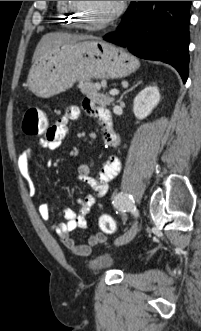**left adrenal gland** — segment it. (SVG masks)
<instances>
[{"mask_svg":"<svg viewBox=\"0 0 201 331\" xmlns=\"http://www.w3.org/2000/svg\"><path fill=\"white\" fill-rule=\"evenodd\" d=\"M141 83H142V81H139V82H137V84H135L134 86H132L130 89H128V90H126L125 92H123V94L120 96V98H119V100H118L117 102H121L122 99H123V96H124L126 93L132 91L134 88H136V87H137L139 84H141Z\"/></svg>","mask_w":201,"mask_h":331,"instance_id":"1","label":"left adrenal gland"}]
</instances>
